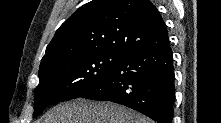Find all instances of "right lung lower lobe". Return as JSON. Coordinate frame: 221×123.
Returning <instances> with one entry per match:
<instances>
[{"label": "right lung lower lobe", "instance_id": "1", "mask_svg": "<svg viewBox=\"0 0 221 123\" xmlns=\"http://www.w3.org/2000/svg\"><path fill=\"white\" fill-rule=\"evenodd\" d=\"M81 97L119 103L157 123H172L175 86L169 40L127 53L103 83Z\"/></svg>", "mask_w": 221, "mask_h": 123}]
</instances>
